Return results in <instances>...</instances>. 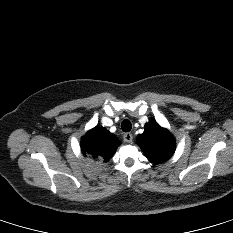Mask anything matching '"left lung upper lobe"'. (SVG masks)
<instances>
[{
    "instance_id": "5c2ea615",
    "label": "left lung upper lobe",
    "mask_w": 233,
    "mask_h": 233,
    "mask_svg": "<svg viewBox=\"0 0 233 233\" xmlns=\"http://www.w3.org/2000/svg\"><path fill=\"white\" fill-rule=\"evenodd\" d=\"M144 129L137 137V144L145 156L154 164L167 161L175 151L174 137L156 121H149Z\"/></svg>"
}]
</instances>
